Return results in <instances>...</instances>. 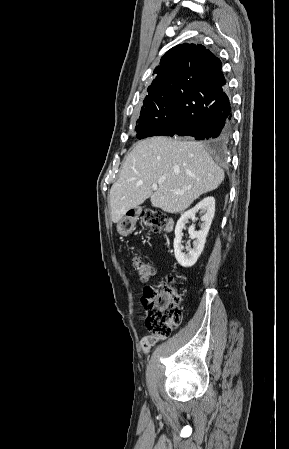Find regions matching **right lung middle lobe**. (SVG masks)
I'll return each instance as SVG.
<instances>
[{
	"label": "right lung middle lobe",
	"instance_id": "1",
	"mask_svg": "<svg viewBox=\"0 0 289 449\" xmlns=\"http://www.w3.org/2000/svg\"><path fill=\"white\" fill-rule=\"evenodd\" d=\"M177 115L173 93L165 92L145 97L141 108L136 137L143 139L153 135L161 125L171 122Z\"/></svg>",
	"mask_w": 289,
	"mask_h": 449
}]
</instances>
